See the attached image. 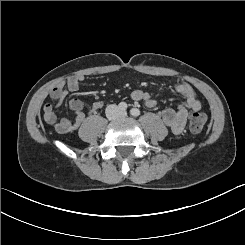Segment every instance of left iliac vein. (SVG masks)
Wrapping results in <instances>:
<instances>
[{
    "label": "left iliac vein",
    "mask_w": 245,
    "mask_h": 245,
    "mask_svg": "<svg viewBox=\"0 0 245 245\" xmlns=\"http://www.w3.org/2000/svg\"><path fill=\"white\" fill-rule=\"evenodd\" d=\"M120 116H121V117H126V116H127L126 111H121Z\"/></svg>",
    "instance_id": "4c4485c4"
}]
</instances>
